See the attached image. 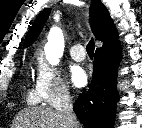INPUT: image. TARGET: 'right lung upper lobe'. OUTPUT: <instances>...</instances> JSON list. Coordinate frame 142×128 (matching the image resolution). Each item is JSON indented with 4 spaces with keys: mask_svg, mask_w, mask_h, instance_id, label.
I'll return each instance as SVG.
<instances>
[{
    "mask_svg": "<svg viewBox=\"0 0 142 128\" xmlns=\"http://www.w3.org/2000/svg\"><path fill=\"white\" fill-rule=\"evenodd\" d=\"M50 13V9L42 11L35 19L33 25L25 39L24 46H30L41 32L44 23L46 22ZM90 23L91 30L94 36L103 42V46L98 49H105L118 44L117 30L113 25L112 19L106 9L101 3V0H92L90 6Z\"/></svg>",
    "mask_w": 142,
    "mask_h": 128,
    "instance_id": "1",
    "label": "right lung upper lobe"
}]
</instances>
